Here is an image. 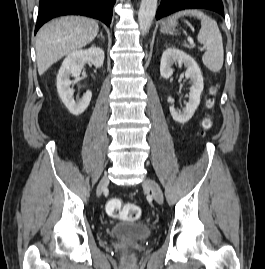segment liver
Returning <instances> with one entry per match:
<instances>
[{
    "instance_id": "obj_1",
    "label": "liver",
    "mask_w": 265,
    "mask_h": 269,
    "mask_svg": "<svg viewBox=\"0 0 265 269\" xmlns=\"http://www.w3.org/2000/svg\"><path fill=\"white\" fill-rule=\"evenodd\" d=\"M99 31L98 23L80 16H67L45 24L36 36L38 73L42 75L65 55L91 43Z\"/></svg>"
}]
</instances>
